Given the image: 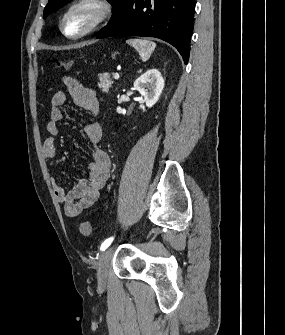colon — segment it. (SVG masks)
Instances as JSON below:
<instances>
[{"label":"colon","mask_w":285,"mask_h":335,"mask_svg":"<svg viewBox=\"0 0 285 335\" xmlns=\"http://www.w3.org/2000/svg\"><path fill=\"white\" fill-rule=\"evenodd\" d=\"M57 66L64 70H70L73 66L72 61L59 60ZM79 232L84 236H89L92 233V225L89 221L83 220L78 224Z\"/></svg>","instance_id":"1"}]
</instances>
